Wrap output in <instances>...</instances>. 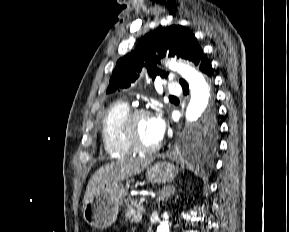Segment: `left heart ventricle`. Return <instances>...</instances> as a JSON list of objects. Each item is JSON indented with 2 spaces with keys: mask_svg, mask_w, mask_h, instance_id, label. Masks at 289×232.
Segmentation results:
<instances>
[{
  "mask_svg": "<svg viewBox=\"0 0 289 232\" xmlns=\"http://www.w3.org/2000/svg\"><path fill=\"white\" fill-rule=\"evenodd\" d=\"M134 130L138 141L147 147L156 145L158 142L155 140L152 128V117L142 116L139 117L134 125Z\"/></svg>",
  "mask_w": 289,
  "mask_h": 232,
  "instance_id": "obj_1",
  "label": "left heart ventricle"
}]
</instances>
